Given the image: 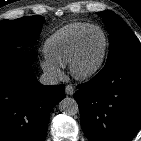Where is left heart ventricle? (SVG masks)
Wrapping results in <instances>:
<instances>
[{
    "mask_svg": "<svg viewBox=\"0 0 141 141\" xmlns=\"http://www.w3.org/2000/svg\"><path fill=\"white\" fill-rule=\"evenodd\" d=\"M104 47V37L99 30H91L83 43L82 53L78 62L81 70L93 67L99 60Z\"/></svg>",
    "mask_w": 141,
    "mask_h": 141,
    "instance_id": "obj_1",
    "label": "left heart ventricle"
}]
</instances>
